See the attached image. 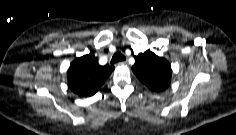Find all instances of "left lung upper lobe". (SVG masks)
I'll use <instances>...</instances> for the list:
<instances>
[{"instance_id": "left-lung-upper-lobe-1", "label": "left lung upper lobe", "mask_w": 236, "mask_h": 135, "mask_svg": "<svg viewBox=\"0 0 236 135\" xmlns=\"http://www.w3.org/2000/svg\"><path fill=\"white\" fill-rule=\"evenodd\" d=\"M132 71L139 80L153 91L161 92L170 85L172 70L169 62L150 50L134 56Z\"/></svg>"}]
</instances>
